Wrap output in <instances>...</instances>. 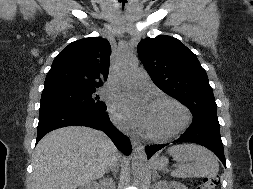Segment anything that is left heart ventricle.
Masks as SVG:
<instances>
[{
  "mask_svg": "<svg viewBox=\"0 0 253 189\" xmlns=\"http://www.w3.org/2000/svg\"><path fill=\"white\" fill-rule=\"evenodd\" d=\"M181 121L180 111L165 102L151 104L146 130L163 134L173 130Z\"/></svg>",
  "mask_w": 253,
  "mask_h": 189,
  "instance_id": "obj_1",
  "label": "left heart ventricle"
}]
</instances>
